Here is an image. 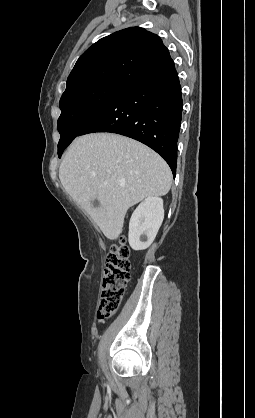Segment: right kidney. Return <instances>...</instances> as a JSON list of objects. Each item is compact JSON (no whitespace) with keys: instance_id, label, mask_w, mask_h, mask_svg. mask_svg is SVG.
<instances>
[{"instance_id":"1","label":"right kidney","mask_w":255,"mask_h":418,"mask_svg":"<svg viewBox=\"0 0 255 418\" xmlns=\"http://www.w3.org/2000/svg\"><path fill=\"white\" fill-rule=\"evenodd\" d=\"M163 200L147 197L133 212L129 223L128 241L133 250H144L154 241L163 222Z\"/></svg>"}]
</instances>
